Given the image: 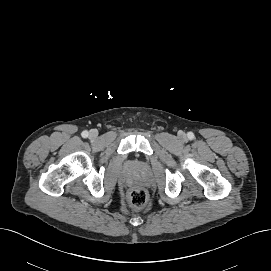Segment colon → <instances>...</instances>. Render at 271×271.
<instances>
[{
  "label": "colon",
  "mask_w": 271,
  "mask_h": 271,
  "mask_svg": "<svg viewBox=\"0 0 271 271\" xmlns=\"http://www.w3.org/2000/svg\"><path fill=\"white\" fill-rule=\"evenodd\" d=\"M148 201V193L141 187H135L131 190L129 195L130 206L135 210L144 208Z\"/></svg>",
  "instance_id": "obj_1"
}]
</instances>
